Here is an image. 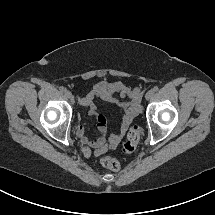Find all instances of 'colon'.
<instances>
[{
	"mask_svg": "<svg viewBox=\"0 0 215 215\" xmlns=\"http://www.w3.org/2000/svg\"><path fill=\"white\" fill-rule=\"evenodd\" d=\"M141 135L139 126H133L127 134L126 141L123 144L122 150L125 154H132L137 146ZM101 164L111 171L118 172L121 168L119 161L111 156L105 155L100 159Z\"/></svg>",
	"mask_w": 215,
	"mask_h": 215,
	"instance_id": "1",
	"label": "colon"
}]
</instances>
